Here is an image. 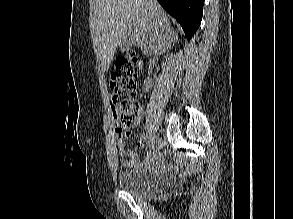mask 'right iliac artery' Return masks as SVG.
I'll return each instance as SVG.
<instances>
[{"label":"right iliac artery","mask_w":293,"mask_h":219,"mask_svg":"<svg viewBox=\"0 0 293 219\" xmlns=\"http://www.w3.org/2000/svg\"><path fill=\"white\" fill-rule=\"evenodd\" d=\"M151 137V132L146 133V138H150Z\"/></svg>","instance_id":"obj_1"}]
</instances>
